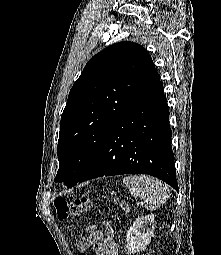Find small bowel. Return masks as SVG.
Segmentation results:
<instances>
[{
  "mask_svg": "<svg viewBox=\"0 0 221 255\" xmlns=\"http://www.w3.org/2000/svg\"><path fill=\"white\" fill-rule=\"evenodd\" d=\"M89 249H92L96 255H118V245L112 228L106 226L101 230L93 226L89 227L78 243V250L83 255Z\"/></svg>",
  "mask_w": 221,
  "mask_h": 255,
  "instance_id": "small-bowel-1",
  "label": "small bowel"
}]
</instances>
